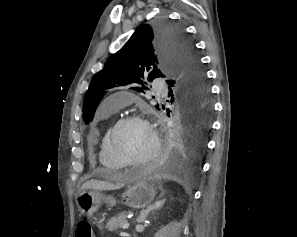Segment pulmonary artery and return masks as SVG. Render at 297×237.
<instances>
[{"instance_id": "1", "label": "pulmonary artery", "mask_w": 297, "mask_h": 237, "mask_svg": "<svg viewBox=\"0 0 297 237\" xmlns=\"http://www.w3.org/2000/svg\"><path fill=\"white\" fill-rule=\"evenodd\" d=\"M154 88L158 91L166 90V84L163 81H157L154 83ZM129 99L125 96L124 93H116L108 97L103 103V108L108 110H116L118 108L124 107L127 105Z\"/></svg>"}]
</instances>
